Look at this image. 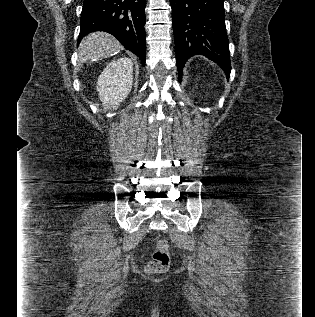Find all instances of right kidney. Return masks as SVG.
<instances>
[{
  "instance_id": "right-kidney-1",
  "label": "right kidney",
  "mask_w": 315,
  "mask_h": 317,
  "mask_svg": "<svg viewBox=\"0 0 315 317\" xmlns=\"http://www.w3.org/2000/svg\"><path fill=\"white\" fill-rule=\"evenodd\" d=\"M132 83L131 59L125 57L110 62L97 82V91L105 109H117L131 92Z\"/></svg>"
}]
</instances>
